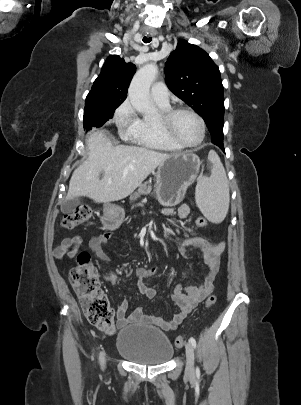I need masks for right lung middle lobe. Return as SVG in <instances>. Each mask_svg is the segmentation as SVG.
Here are the masks:
<instances>
[{
    "mask_svg": "<svg viewBox=\"0 0 301 405\" xmlns=\"http://www.w3.org/2000/svg\"><path fill=\"white\" fill-rule=\"evenodd\" d=\"M118 106H109L107 102L101 100H93L85 102L84 111V128L86 130L92 127H100L109 122L114 115V111Z\"/></svg>",
    "mask_w": 301,
    "mask_h": 405,
    "instance_id": "dd1d6c3e",
    "label": "right lung middle lobe"
}]
</instances>
